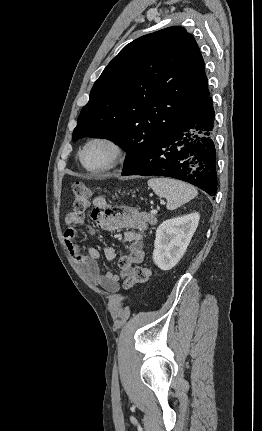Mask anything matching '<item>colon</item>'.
Segmentation results:
<instances>
[{
	"instance_id": "5ec220e1",
	"label": "colon",
	"mask_w": 262,
	"mask_h": 431,
	"mask_svg": "<svg viewBox=\"0 0 262 431\" xmlns=\"http://www.w3.org/2000/svg\"><path fill=\"white\" fill-rule=\"evenodd\" d=\"M91 203V193L88 187L81 182H77L72 188V213L75 224L81 223L84 219L85 212ZM116 211L114 206H108L107 212ZM151 278V270L148 267L138 266L134 269L133 274L123 281V287L129 288L135 284H147Z\"/></svg>"
}]
</instances>
